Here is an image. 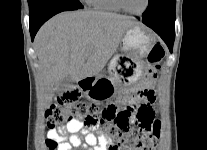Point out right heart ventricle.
I'll list each match as a JSON object with an SVG mask.
<instances>
[{"label": "right heart ventricle", "mask_w": 207, "mask_h": 150, "mask_svg": "<svg viewBox=\"0 0 207 150\" xmlns=\"http://www.w3.org/2000/svg\"><path fill=\"white\" fill-rule=\"evenodd\" d=\"M93 8L107 12H121L122 9L118 6L115 0H86Z\"/></svg>", "instance_id": "1"}]
</instances>
